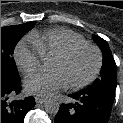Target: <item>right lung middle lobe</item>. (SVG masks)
<instances>
[{
    "instance_id": "right-lung-middle-lobe-1",
    "label": "right lung middle lobe",
    "mask_w": 123,
    "mask_h": 123,
    "mask_svg": "<svg viewBox=\"0 0 123 123\" xmlns=\"http://www.w3.org/2000/svg\"><path fill=\"white\" fill-rule=\"evenodd\" d=\"M35 22L1 28V77L19 81L20 76L14 64L12 54L21 37L34 26Z\"/></svg>"
}]
</instances>
